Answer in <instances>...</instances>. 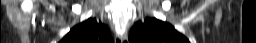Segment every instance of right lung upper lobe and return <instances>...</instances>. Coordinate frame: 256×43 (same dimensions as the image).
Wrapping results in <instances>:
<instances>
[{
	"mask_svg": "<svg viewBox=\"0 0 256 43\" xmlns=\"http://www.w3.org/2000/svg\"><path fill=\"white\" fill-rule=\"evenodd\" d=\"M60 43H113L107 26L89 18L75 26Z\"/></svg>",
	"mask_w": 256,
	"mask_h": 43,
	"instance_id": "right-lung-upper-lobe-1",
	"label": "right lung upper lobe"
}]
</instances>
